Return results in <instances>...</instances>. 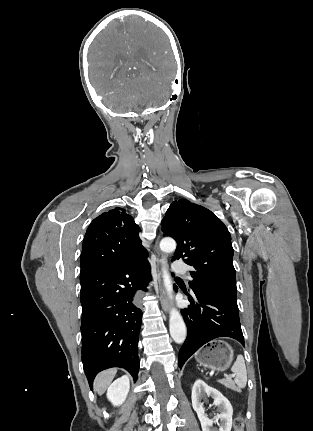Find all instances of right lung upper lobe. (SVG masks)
Listing matches in <instances>:
<instances>
[{"mask_svg":"<svg viewBox=\"0 0 313 431\" xmlns=\"http://www.w3.org/2000/svg\"><path fill=\"white\" fill-rule=\"evenodd\" d=\"M148 255L139 226L116 207L95 218L87 229L81 252V273L122 266Z\"/></svg>","mask_w":313,"mask_h":431,"instance_id":"1","label":"right lung upper lobe"}]
</instances>
